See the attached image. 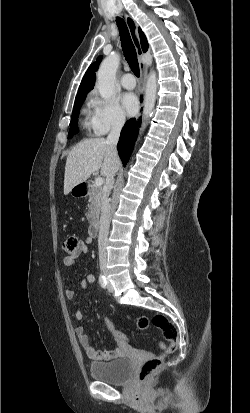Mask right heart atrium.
Masks as SVG:
<instances>
[{
	"label": "right heart atrium",
	"instance_id": "1",
	"mask_svg": "<svg viewBox=\"0 0 250 413\" xmlns=\"http://www.w3.org/2000/svg\"><path fill=\"white\" fill-rule=\"evenodd\" d=\"M91 106V124L95 134L105 135L110 131H118L125 125L126 117L116 98L102 99L94 96Z\"/></svg>",
	"mask_w": 250,
	"mask_h": 413
}]
</instances>
